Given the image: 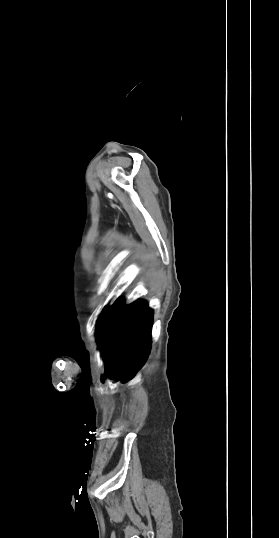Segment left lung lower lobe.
Instances as JSON below:
<instances>
[{"label": "left lung lower lobe", "instance_id": "0a47b994", "mask_svg": "<svg viewBox=\"0 0 279 538\" xmlns=\"http://www.w3.org/2000/svg\"><path fill=\"white\" fill-rule=\"evenodd\" d=\"M153 311L141 301L124 306L119 298L106 307L97 325L105 375L115 380L132 377L145 364L151 349Z\"/></svg>", "mask_w": 279, "mask_h": 538}]
</instances>
